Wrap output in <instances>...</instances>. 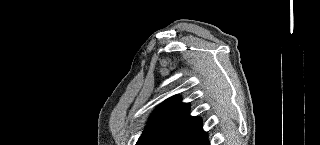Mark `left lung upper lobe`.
I'll return each mask as SVG.
<instances>
[{
	"mask_svg": "<svg viewBox=\"0 0 320 145\" xmlns=\"http://www.w3.org/2000/svg\"><path fill=\"white\" fill-rule=\"evenodd\" d=\"M188 103L175 95L165 101L138 139L136 145H179L191 132L202 126L199 117L189 115Z\"/></svg>",
	"mask_w": 320,
	"mask_h": 145,
	"instance_id": "obj_1",
	"label": "left lung upper lobe"
}]
</instances>
